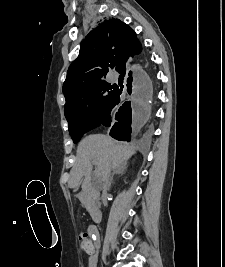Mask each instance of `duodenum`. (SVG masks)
<instances>
[{"label":"duodenum","mask_w":225,"mask_h":267,"mask_svg":"<svg viewBox=\"0 0 225 267\" xmlns=\"http://www.w3.org/2000/svg\"><path fill=\"white\" fill-rule=\"evenodd\" d=\"M82 197H83V200L85 202V205L89 211L91 218L94 221H99L102 217V213H101L100 207L97 204V202L95 201L94 197L89 196L85 193H82Z\"/></svg>","instance_id":"obj_1"}]
</instances>
